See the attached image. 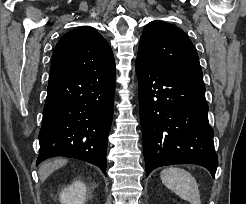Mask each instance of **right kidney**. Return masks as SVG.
Masks as SVG:
<instances>
[{
	"mask_svg": "<svg viewBox=\"0 0 246 204\" xmlns=\"http://www.w3.org/2000/svg\"><path fill=\"white\" fill-rule=\"evenodd\" d=\"M61 204H85L86 186L81 181L73 182L60 193Z\"/></svg>",
	"mask_w": 246,
	"mask_h": 204,
	"instance_id": "obj_1",
	"label": "right kidney"
}]
</instances>
